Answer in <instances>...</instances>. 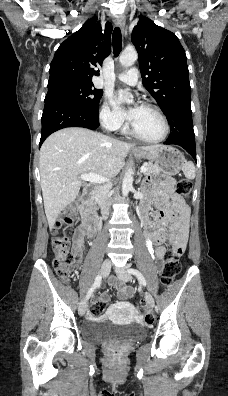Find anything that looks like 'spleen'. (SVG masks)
I'll use <instances>...</instances> for the list:
<instances>
[{"mask_svg": "<svg viewBox=\"0 0 228 396\" xmlns=\"http://www.w3.org/2000/svg\"><path fill=\"white\" fill-rule=\"evenodd\" d=\"M182 171L187 179L192 180L195 178L196 170L192 162H186L182 167Z\"/></svg>", "mask_w": 228, "mask_h": 396, "instance_id": "obj_1", "label": "spleen"}]
</instances>
